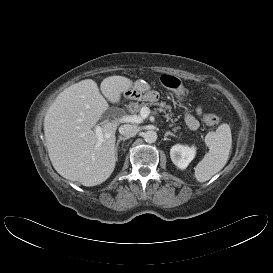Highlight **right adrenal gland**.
I'll return each instance as SVG.
<instances>
[{
    "label": "right adrenal gland",
    "instance_id": "1",
    "mask_svg": "<svg viewBox=\"0 0 273 273\" xmlns=\"http://www.w3.org/2000/svg\"><path fill=\"white\" fill-rule=\"evenodd\" d=\"M127 139H129L128 137H122V136H119V139L117 140V143H116V146H115V153H116V157L118 155V147H119V144L121 141H126Z\"/></svg>",
    "mask_w": 273,
    "mask_h": 273
}]
</instances>
